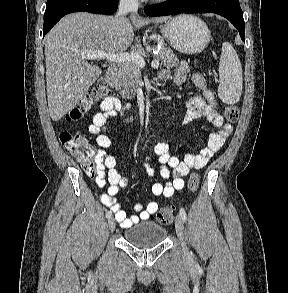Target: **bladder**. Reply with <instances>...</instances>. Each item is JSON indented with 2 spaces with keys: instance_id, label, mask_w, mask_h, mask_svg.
Masks as SVG:
<instances>
[{
  "instance_id": "31cf9c89",
  "label": "bladder",
  "mask_w": 288,
  "mask_h": 293,
  "mask_svg": "<svg viewBox=\"0 0 288 293\" xmlns=\"http://www.w3.org/2000/svg\"><path fill=\"white\" fill-rule=\"evenodd\" d=\"M123 236L133 246L149 248L162 243L167 237V230L154 221H143L126 228Z\"/></svg>"
}]
</instances>
